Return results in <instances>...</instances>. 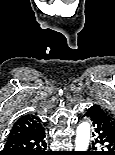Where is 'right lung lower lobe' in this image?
<instances>
[{
    "label": "right lung lower lobe",
    "mask_w": 115,
    "mask_h": 155,
    "mask_svg": "<svg viewBox=\"0 0 115 155\" xmlns=\"http://www.w3.org/2000/svg\"><path fill=\"white\" fill-rule=\"evenodd\" d=\"M44 128L16 139L7 140L0 155H51L46 150Z\"/></svg>",
    "instance_id": "obj_1"
}]
</instances>
